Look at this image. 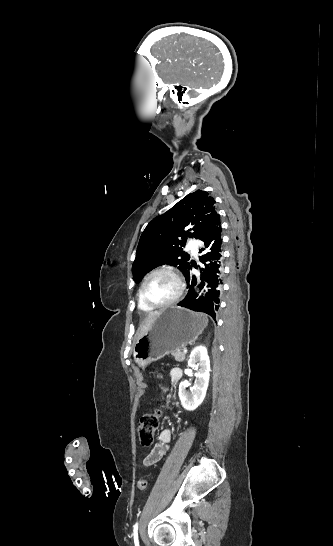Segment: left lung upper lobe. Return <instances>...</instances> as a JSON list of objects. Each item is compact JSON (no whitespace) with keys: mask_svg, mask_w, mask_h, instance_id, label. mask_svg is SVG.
<instances>
[{"mask_svg":"<svg viewBox=\"0 0 333 546\" xmlns=\"http://www.w3.org/2000/svg\"><path fill=\"white\" fill-rule=\"evenodd\" d=\"M217 215L215 200L208 192L197 190L155 217L139 240L133 262L134 281L139 283L148 272L164 264L178 266L186 276L192 263L181 247L188 237L198 239Z\"/></svg>","mask_w":333,"mask_h":546,"instance_id":"left-lung-upper-lobe-1","label":"left lung upper lobe"}]
</instances>
